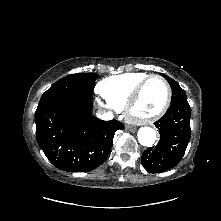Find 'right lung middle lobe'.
<instances>
[{"label": "right lung middle lobe", "instance_id": "right-lung-middle-lobe-1", "mask_svg": "<svg viewBox=\"0 0 221 221\" xmlns=\"http://www.w3.org/2000/svg\"><path fill=\"white\" fill-rule=\"evenodd\" d=\"M97 77L95 73L71 74L63 77L43 93L37 108L60 98L92 100Z\"/></svg>", "mask_w": 221, "mask_h": 221}]
</instances>
